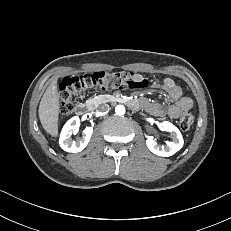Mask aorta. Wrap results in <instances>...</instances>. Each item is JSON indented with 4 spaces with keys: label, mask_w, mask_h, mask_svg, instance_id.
Returning a JSON list of instances; mask_svg holds the SVG:
<instances>
[{
    "label": "aorta",
    "mask_w": 231,
    "mask_h": 231,
    "mask_svg": "<svg viewBox=\"0 0 231 231\" xmlns=\"http://www.w3.org/2000/svg\"><path fill=\"white\" fill-rule=\"evenodd\" d=\"M115 113L119 116L124 115L125 114V107L123 105H117L115 107Z\"/></svg>",
    "instance_id": "1"
}]
</instances>
